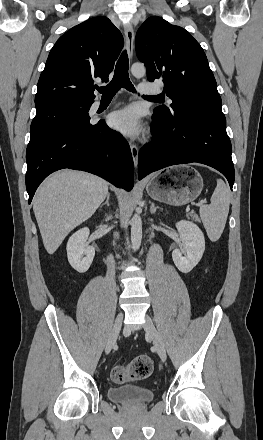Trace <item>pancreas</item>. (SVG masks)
I'll return each mask as SVG.
<instances>
[{
  "mask_svg": "<svg viewBox=\"0 0 263 440\" xmlns=\"http://www.w3.org/2000/svg\"><path fill=\"white\" fill-rule=\"evenodd\" d=\"M190 217H191L193 220H195V221H199L198 215L195 214V213H191V214H190Z\"/></svg>",
  "mask_w": 263,
  "mask_h": 440,
  "instance_id": "cf45deb5",
  "label": "pancreas"
}]
</instances>
